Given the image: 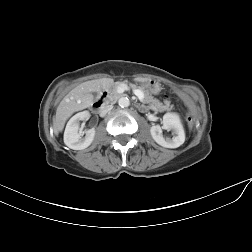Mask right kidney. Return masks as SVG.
<instances>
[{
	"mask_svg": "<svg viewBox=\"0 0 252 252\" xmlns=\"http://www.w3.org/2000/svg\"><path fill=\"white\" fill-rule=\"evenodd\" d=\"M90 113L83 111L75 114L67 123L64 132V143L73 150H82L90 146L95 136V129L79 132L80 121L88 120ZM85 133V137L83 134Z\"/></svg>",
	"mask_w": 252,
	"mask_h": 252,
	"instance_id": "right-kidney-1",
	"label": "right kidney"
}]
</instances>
